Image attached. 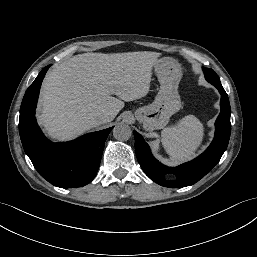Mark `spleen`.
I'll use <instances>...</instances> for the list:
<instances>
[{
  "label": "spleen",
  "instance_id": "3e777b00",
  "mask_svg": "<svg viewBox=\"0 0 257 257\" xmlns=\"http://www.w3.org/2000/svg\"><path fill=\"white\" fill-rule=\"evenodd\" d=\"M165 151L176 162L191 159L204 137V126L193 115L185 116L176 126L166 128L162 134Z\"/></svg>",
  "mask_w": 257,
  "mask_h": 257
}]
</instances>
